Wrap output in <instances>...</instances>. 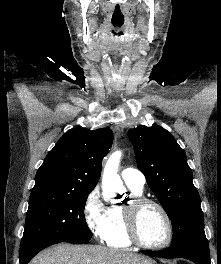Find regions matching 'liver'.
Masks as SVG:
<instances>
[{
    "instance_id": "1",
    "label": "liver",
    "mask_w": 221,
    "mask_h": 264,
    "mask_svg": "<svg viewBox=\"0 0 221 264\" xmlns=\"http://www.w3.org/2000/svg\"><path fill=\"white\" fill-rule=\"evenodd\" d=\"M152 260L129 251L99 245L74 246L62 244L49 248L29 264H150Z\"/></svg>"
}]
</instances>
